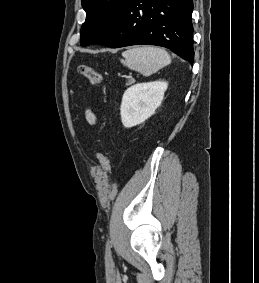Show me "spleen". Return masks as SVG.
I'll list each match as a JSON object with an SVG mask.
<instances>
[{
	"label": "spleen",
	"mask_w": 259,
	"mask_h": 283,
	"mask_svg": "<svg viewBox=\"0 0 259 283\" xmlns=\"http://www.w3.org/2000/svg\"><path fill=\"white\" fill-rule=\"evenodd\" d=\"M121 62L129 69L150 76L171 63L166 50L153 46H135L122 53Z\"/></svg>",
	"instance_id": "1"
}]
</instances>
